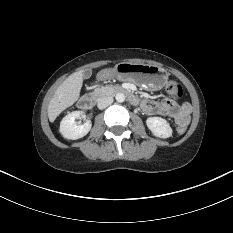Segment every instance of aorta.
<instances>
[{"label": "aorta", "instance_id": "aorta-1", "mask_svg": "<svg viewBox=\"0 0 233 233\" xmlns=\"http://www.w3.org/2000/svg\"><path fill=\"white\" fill-rule=\"evenodd\" d=\"M115 99L117 102H124L125 101V95L123 93H117L115 96Z\"/></svg>", "mask_w": 233, "mask_h": 233}]
</instances>
